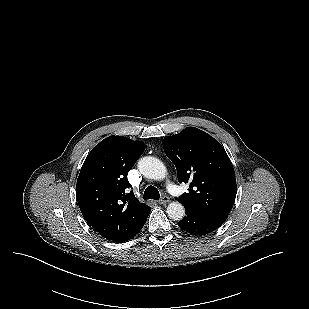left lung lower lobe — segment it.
I'll return each mask as SVG.
<instances>
[{
  "instance_id": "1",
  "label": "left lung lower lobe",
  "mask_w": 309,
  "mask_h": 309,
  "mask_svg": "<svg viewBox=\"0 0 309 309\" xmlns=\"http://www.w3.org/2000/svg\"><path fill=\"white\" fill-rule=\"evenodd\" d=\"M185 211L186 216L178 222V226L192 235H206L223 223L199 211Z\"/></svg>"
}]
</instances>
